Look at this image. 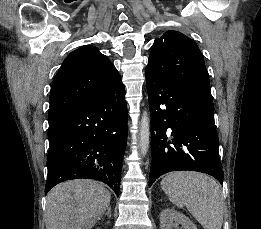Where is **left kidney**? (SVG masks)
<instances>
[{"label":"left kidney","mask_w":261,"mask_h":229,"mask_svg":"<svg viewBox=\"0 0 261 229\" xmlns=\"http://www.w3.org/2000/svg\"><path fill=\"white\" fill-rule=\"evenodd\" d=\"M174 225H181L182 229H197L194 223L175 209H164L160 215V229H173Z\"/></svg>","instance_id":"obj_1"}]
</instances>
